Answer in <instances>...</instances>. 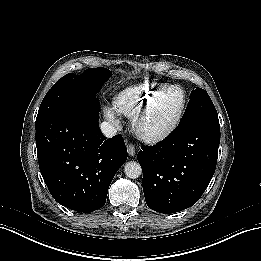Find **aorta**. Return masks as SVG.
<instances>
[{
	"label": "aorta",
	"instance_id": "aorta-1",
	"mask_svg": "<svg viewBox=\"0 0 261 261\" xmlns=\"http://www.w3.org/2000/svg\"><path fill=\"white\" fill-rule=\"evenodd\" d=\"M124 173L128 178L136 179L142 174L139 163L128 161L124 165Z\"/></svg>",
	"mask_w": 261,
	"mask_h": 261
}]
</instances>
